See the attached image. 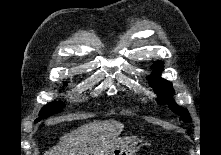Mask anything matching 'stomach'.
<instances>
[{
    "mask_svg": "<svg viewBox=\"0 0 221 155\" xmlns=\"http://www.w3.org/2000/svg\"><path fill=\"white\" fill-rule=\"evenodd\" d=\"M138 144L139 140L136 137L117 138L106 155H136Z\"/></svg>",
    "mask_w": 221,
    "mask_h": 155,
    "instance_id": "1",
    "label": "stomach"
}]
</instances>
